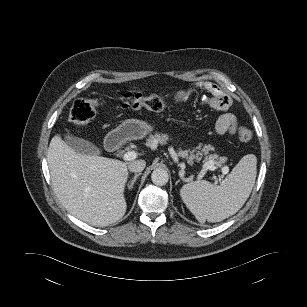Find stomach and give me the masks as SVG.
<instances>
[{"instance_id": "0dacf381", "label": "stomach", "mask_w": 307, "mask_h": 307, "mask_svg": "<svg viewBox=\"0 0 307 307\" xmlns=\"http://www.w3.org/2000/svg\"><path fill=\"white\" fill-rule=\"evenodd\" d=\"M153 130V126L139 119H127L123 121L110 134H115L120 140L142 139Z\"/></svg>"}]
</instances>
